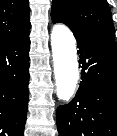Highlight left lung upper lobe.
I'll list each match as a JSON object with an SVG mask.
<instances>
[{"mask_svg":"<svg viewBox=\"0 0 117 136\" xmlns=\"http://www.w3.org/2000/svg\"><path fill=\"white\" fill-rule=\"evenodd\" d=\"M53 22L66 24L74 34L115 43V29L106 0H53Z\"/></svg>","mask_w":117,"mask_h":136,"instance_id":"left-lung-upper-lobe-1","label":"left lung upper lobe"}]
</instances>
